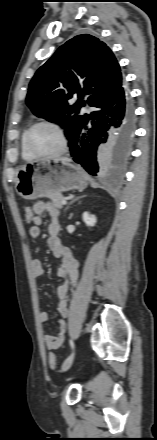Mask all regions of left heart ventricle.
Masks as SVG:
<instances>
[{
    "label": "left heart ventricle",
    "mask_w": 157,
    "mask_h": 440,
    "mask_svg": "<svg viewBox=\"0 0 157 440\" xmlns=\"http://www.w3.org/2000/svg\"><path fill=\"white\" fill-rule=\"evenodd\" d=\"M31 146L39 153L55 152L61 145L60 137L55 129L49 126H38L30 137Z\"/></svg>",
    "instance_id": "1"
}]
</instances>
